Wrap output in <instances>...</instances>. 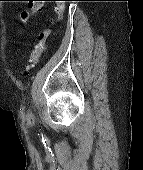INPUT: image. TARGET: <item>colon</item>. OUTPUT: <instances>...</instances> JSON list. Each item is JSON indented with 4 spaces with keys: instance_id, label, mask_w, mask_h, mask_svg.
<instances>
[{
    "instance_id": "obj_1",
    "label": "colon",
    "mask_w": 143,
    "mask_h": 170,
    "mask_svg": "<svg viewBox=\"0 0 143 170\" xmlns=\"http://www.w3.org/2000/svg\"><path fill=\"white\" fill-rule=\"evenodd\" d=\"M29 1V8L27 10H24L21 14V17L23 20H28L29 17L33 14L38 12L42 8V4L44 1H55V7L54 11L56 13V17L51 20V27L43 30L39 36H38V42L35 46V49L33 50L31 60L33 65L37 64L39 60L41 59L45 47H46V41L48 37L52 34L54 27L58 24L61 23L64 15V9H65V4L64 0H28Z\"/></svg>"
}]
</instances>
